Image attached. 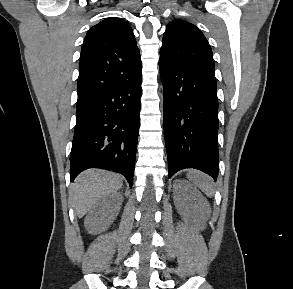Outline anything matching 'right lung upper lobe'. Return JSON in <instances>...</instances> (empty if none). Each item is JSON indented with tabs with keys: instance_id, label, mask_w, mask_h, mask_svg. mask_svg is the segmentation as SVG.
I'll return each mask as SVG.
<instances>
[{
	"instance_id": "1",
	"label": "right lung upper lobe",
	"mask_w": 293,
	"mask_h": 289,
	"mask_svg": "<svg viewBox=\"0 0 293 289\" xmlns=\"http://www.w3.org/2000/svg\"><path fill=\"white\" fill-rule=\"evenodd\" d=\"M141 58L133 30L122 19L109 18L93 26L79 59L77 105L142 76Z\"/></svg>"
}]
</instances>
